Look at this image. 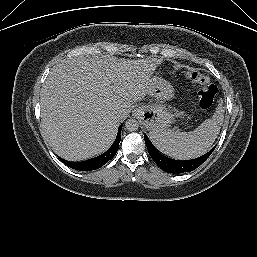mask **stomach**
I'll use <instances>...</instances> for the list:
<instances>
[{
  "instance_id": "obj_1",
  "label": "stomach",
  "mask_w": 257,
  "mask_h": 257,
  "mask_svg": "<svg viewBox=\"0 0 257 257\" xmlns=\"http://www.w3.org/2000/svg\"><path fill=\"white\" fill-rule=\"evenodd\" d=\"M149 84V95L163 100L174 97L173 86L164 78L154 76ZM134 114L143 119L150 131L164 130L173 121V115L163 105L140 106L134 109Z\"/></svg>"
}]
</instances>
